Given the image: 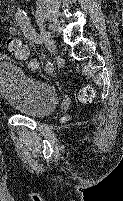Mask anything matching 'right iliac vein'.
<instances>
[{
  "label": "right iliac vein",
  "instance_id": "right-iliac-vein-1",
  "mask_svg": "<svg viewBox=\"0 0 123 201\" xmlns=\"http://www.w3.org/2000/svg\"><path fill=\"white\" fill-rule=\"evenodd\" d=\"M41 36L47 50L51 53L55 52L56 45L54 40L51 38L50 34L47 31L42 30Z\"/></svg>",
  "mask_w": 123,
  "mask_h": 201
}]
</instances>
